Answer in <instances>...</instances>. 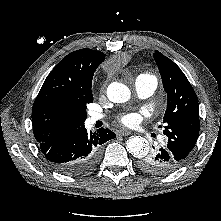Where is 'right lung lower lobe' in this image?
Returning a JSON list of instances; mask_svg holds the SVG:
<instances>
[{"label": "right lung lower lobe", "instance_id": "1", "mask_svg": "<svg viewBox=\"0 0 221 221\" xmlns=\"http://www.w3.org/2000/svg\"><path fill=\"white\" fill-rule=\"evenodd\" d=\"M113 138L116 134L107 128L88 133L83 125L58 140L39 143V146L58 172L81 175L98 164L101 145Z\"/></svg>", "mask_w": 221, "mask_h": 221}]
</instances>
